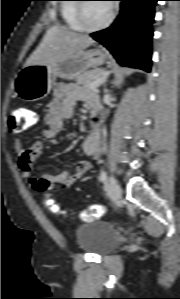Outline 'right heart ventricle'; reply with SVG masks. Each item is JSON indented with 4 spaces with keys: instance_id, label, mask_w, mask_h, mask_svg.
Segmentation results:
<instances>
[{
    "instance_id": "right-heart-ventricle-1",
    "label": "right heart ventricle",
    "mask_w": 180,
    "mask_h": 299,
    "mask_svg": "<svg viewBox=\"0 0 180 299\" xmlns=\"http://www.w3.org/2000/svg\"><path fill=\"white\" fill-rule=\"evenodd\" d=\"M77 0H65L61 6V16L64 23L72 30L81 31V28L76 20Z\"/></svg>"
}]
</instances>
